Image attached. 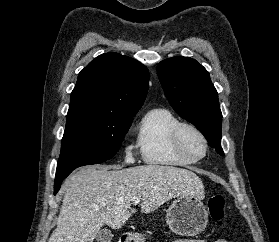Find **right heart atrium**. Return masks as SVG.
<instances>
[{
    "label": "right heart atrium",
    "mask_w": 279,
    "mask_h": 242,
    "mask_svg": "<svg viewBox=\"0 0 279 242\" xmlns=\"http://www.w3.org/2000/svg\"><path fill=\"white\" fill-rule=\"evenodd\" d=\"M124 158H125V161L127 163H131V162L134 161V157H133L132 153L130 151H128V150L125 152Z\"/></svg>",
    "instance_id": "1"
}]
</instances>
